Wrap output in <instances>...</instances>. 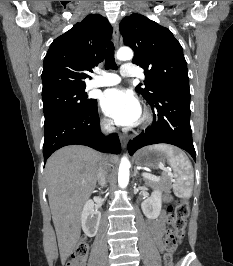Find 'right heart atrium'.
<instances>
[{"label":"right heart atrium","mask_w":233,"mask_h":266,"mask_svg":"<svg viewBox=\"0 0 233 266\" xmlns=\"http://www.w3.org/2000/svg\"><path fill=\"white\" fill-rule=\"evenodd\" d=\"M101 126L105 131H112L114 128L112 121L107 118H102Z\"/></svg>","instance_id":"obj_1"}]
</instances>
